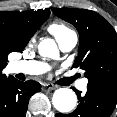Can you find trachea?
<instances>
[{
	"label": "trachea",
	"instance_id": "1",
	"mask_svg": "<svg viewBox=\"0 0 117 117\" xmlns=\"http://www.w3.org/2000/svg\"><path fill=\"white\" fill-rule=\"evenodd\" d=\"M74 79H76V77H72V78L70 79V81H73Z\"/></svg>",
	"mask_w": 117,
	"mask_h": 117
}]
</instances>
